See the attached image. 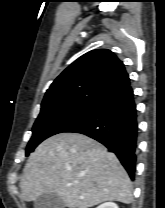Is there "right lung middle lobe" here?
Masks as SVG:
<instances>
[{"label":"right lung middle lobe","mask_w":165,"mask_h":208,"mask_svg":"<svg viewBox=\"0 0 165 208\" xmlns=\"http://www.w3.org/2000/svg\"><path fill=\"white\" fill-rule=\"evenodd\" d=\"M91 103H61L42 107L34 123L33 135L27 145L26 155L46 138L65 132L86 117L94 108Z\"/></svg>","instance_id":"1"}]
</instances>
